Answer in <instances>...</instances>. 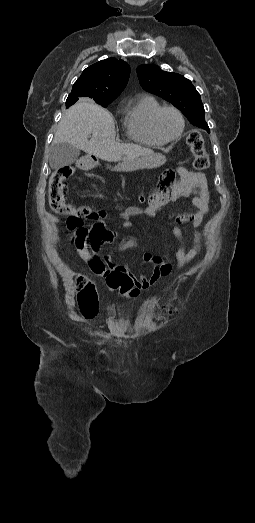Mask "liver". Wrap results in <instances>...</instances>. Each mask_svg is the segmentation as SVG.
<instances>
[{"instance_id":"1","label":"liver","mask_w":255,"mask_h":523,"mask_svg":"<svg viewBox=\"0 0 255 523\" xmlns=\"http://www.w3.org/2000/svg\"><path fill=\"white\" fill-rule=\"evenodd\" d=\"M90 134L92 138L88 140ZM115 138V124L110 112L97 106L92 100L80 98L77 104L63 114L53 144L68 142L74 148L97 156L105 162H128L140 156L147 158L153 168H159L166 162L165 156L154 154L150 148H142L137 144H119ZM115 170H121V164Z\"/></svg>"}]
</instances>
